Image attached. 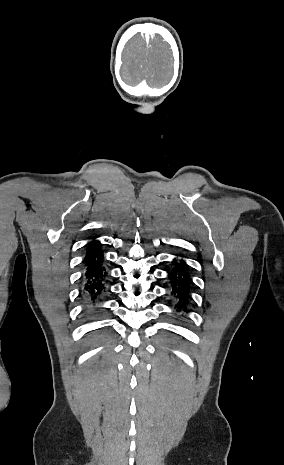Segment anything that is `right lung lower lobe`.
I'll return each mask as SVG.
<instances>
[{
    "label": "right lung lower lobe",
    "instance_id": "right-lung-lower-lobe-1",
    "mask_svg": "<svg viewBox=\"0 0 284 465\" xmlns=\"http://www.w3.org/2000/svg\"><path fill=\"white\" fill-rule=\"evenodd\" d=\"M100 246L101 244L98 241H93L88 245L83 260L85 274L81 296L89 305L87 311H90V313L97 310L96 306L103 301L104 295L110 292L106 287L110 276L104 267L103 251H101Z\"/></svg>",
    "mask_w": 284,
    "mask_h": 465
}]
</instances>
